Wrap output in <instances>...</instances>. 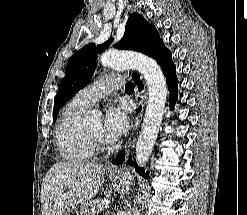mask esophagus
<instances>
[{
    "label": "esophagus",
    "instance_id": "1",
    "mask_svg": "<svg viewBox=\"0 0 247 215\" xmlns=\"http://www.w3.org/2000/svg\"><path fill=\"white\" fill-rule=\"evenodd\" d=\"M146 97H147L146 89H144V91H142V92H139L138 90H136L134 98H135V102L138 106H140V105L144 106ZM142 116H143V111L138 113V115L133 118L132 123H131L130 136L124 145L125 150H128V149L132 148V146H133V143L135 140V132H136L137 128L139 127ZM107 170L109 172L119 173L121 171V168L117 165H114V164H108Z\"/></svg>",
    "mask_w": 247,
    "mask_h": 215
}]
</instances>
